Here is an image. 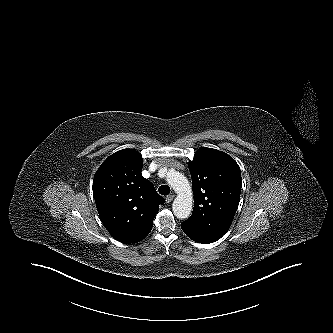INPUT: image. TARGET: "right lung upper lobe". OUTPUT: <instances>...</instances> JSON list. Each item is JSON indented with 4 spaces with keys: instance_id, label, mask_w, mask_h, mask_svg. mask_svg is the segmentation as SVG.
I'll list each match as a JSON object with an SVG mask.
<instances>
[{
    "instance_id": "right-lung-upper-lobe-1",
    "label": "right lung upper lobe",
    "mask_w": 333,
    "mask_h": 333,
    "mask_svg": "<svg viewBox=\"0 0 333 333\" xmlns=\"http://www.w3.org/2000/svg\"><path fill=\"white\" fill-rule=\"evenodd\" d=\"M143 160L133 149L109 156L97 170L93 195L100 219L119 242L130 244L144 239L164 203L153 184L141 175Z\"/></svg>"
}]
</instances>
